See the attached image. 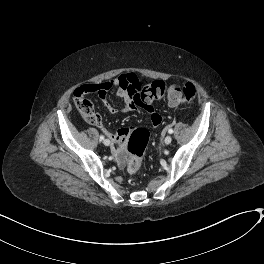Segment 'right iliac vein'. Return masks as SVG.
Returning a JSON list of instances; mask_svg holds the SVG:
<instances>
[{"mask_svg": "<svg viewBox=\"0 0 264 264\" xmlns=\"http://www.w3.org/2000/svg\"><path fill=\"white\" fill-rule=\"evenodd\" d=\"M103 144H104L105 146H109L110 141H109L108 139H105V140L103 141Z\"/></svg>", "mask_w": 264, "mask_h": 264, "instance_id": "obj_1", "label": "right iliac vein"}]
</instances>
